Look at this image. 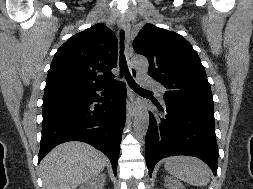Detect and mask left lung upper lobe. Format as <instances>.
<instances>
[{"label": "left lung upper lobe", "mask_w": 253, "mask_h": 189, "mask_svg": "<svg viewBox=\"0 0 253 189\" xmlns=\"http://www.w3.org/2000/svg\"><path fill=\"white\" fill-rule=\"evenodd\" d=\"M133 48L148 58V74L166 89L163 98L214 110L205 69L185 38L176 32L146 24L133 41Z\"/></svg>", "instance_id": "1"}]
</instances>
